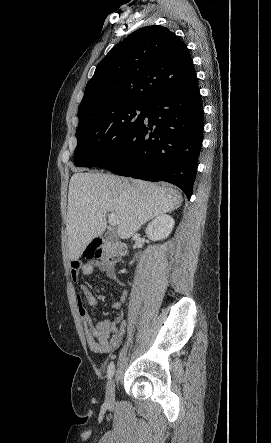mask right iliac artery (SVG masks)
I'll list each match as a JSON object with an SVG mask.
<instances>
[{"label":"right iliac artery","mask_w":271,"mask_h":443,"mask_svg":"<svg viewBox=\"0 0 271 443\" xmlns=\"http://www.w3.org/2000/svg\"><path fill=\"white\" fill-rule=\"evenodd\" d=\"M114 370H115V365L113 362H111L108 366V371H107V377L108 379H111L114 375Z\"/></svg>","instance_id":"82829eb1"}]
</instances>
